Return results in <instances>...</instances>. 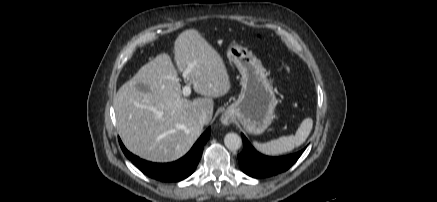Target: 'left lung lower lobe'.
<instances>
[{"label":"left lung lower lobe","instance_id":"obj_1","mask_svg":"<svg viewBox=\"0 0 437 202\" xmlns=\"http://www.w3.org/2000/svg\"><path fill=\"white\" fill-rule=\"evenodd\" d=\"M244 149L238 155L241 170L253 178L270 177L288 170L301 156L304 149L287 156L270 157L257 152L242 134Z\"/></svg>","mask_w":437,"mask_h":202}]
</instances>
